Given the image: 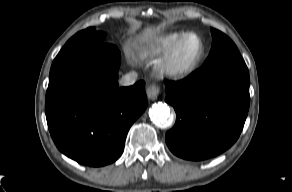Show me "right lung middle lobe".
Returning <instances> with one entry per match:
<instances>
[{"instance_id": "1", "label": "right lung middle lobe", "mask_w": 292, "mask_h": 192, "mask_svg": "<svg viewBox=\"0 0 292 192\" xmlns=\"http://www.w3.org/2000/svg\"><path fill=\"white\" fill-rule=\"evenodd\" d=\"M105 33L97 32L94 28H87L75 34L70 38L64 47L67 46H85L104 43Z\"/></svg>"}]
</instances>
